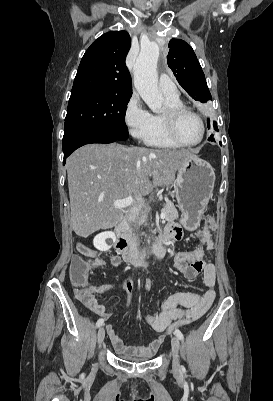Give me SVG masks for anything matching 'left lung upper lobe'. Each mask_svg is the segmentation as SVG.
I'll return each instance as SVG.
<instances>
[{"instance_id":"left-lung-upper-lobe-1","label":"left lung upper lobe","mask_w":273,"mask_h":401,"mask_svg":"<svg viewBox=\"0 0 273 401\" xmlns=\"http://www.w3.org/2000/svg\"><path fill=\"white\" fill-rule=\"evenodd\" d=\"M167 63L179 84L195 100L202 103L212 100L203 70L190 45L180 39L169 42Z\"/></svg>"}]
</instances>
